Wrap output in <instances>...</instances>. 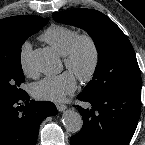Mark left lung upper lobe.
Masks as SVG:
<instances>
[{
    "label": "left lung upper lobe",
    "instance_id": "obj_1",
    "mask_svg": "<svg viewBox=\"0 0 145 145\" xmlns=\"http://www.w3.org/2000/svg\"><path fill=\"white\" fill-rule=\"evenodd\" d=\"M52 15L58 22L84 29L95 42L98 64L83 93L99 96L122 89L141 88L134 49L109 17L93 9H72Z\"/></svg>",
    "mask_w": 145,
    "mask_h": 145
}]
</instances>
